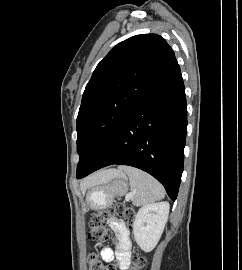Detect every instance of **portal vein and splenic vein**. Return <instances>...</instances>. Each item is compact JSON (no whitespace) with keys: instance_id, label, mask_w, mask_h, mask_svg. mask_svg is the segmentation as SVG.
I'll return each instance as SVG.
<instances>
[{"instance_id":"1","label":"portal vein and splenic vein","mask_w":242,"mask_h":270,"mask_svg":"<svg viewBox=\"0 0 242 270\" xmlns=\"http://www.w3.org/2000/svg\"><path fill=\"white\" fill-rule=\"evenodd\" d=\"M132 195H133V193L127 194V195H126V198H125L126 201H129V200L131 199Z\"/></svg>"}]
</instances>
